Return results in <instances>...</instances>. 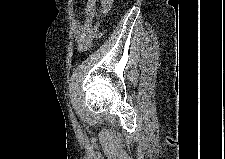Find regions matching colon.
Segmentation results:
<instances>
[{"label": "colon", "instance_id": "obj_1", "mask_svg": "<svg viewBox=\"0 0 225 159\" xmlns=\"http://www.w3.org/2000/svg\"><path fill=\"white\" fill-rule=\"evenodd\" d=\"M105 31L101 32L98 36V39L101 38L104 35Z\"/></svg>", "mask_w": 225, "mask_h": 159}]
</instances>
